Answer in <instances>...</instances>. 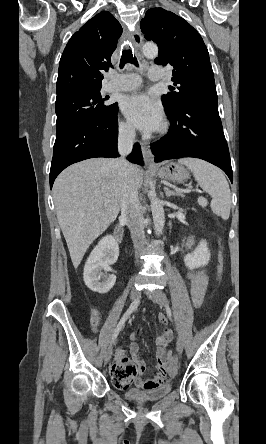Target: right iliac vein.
Returning <instances> with one entry per match:
<instances>
[{
	"instance_id": "right-iliac-vein-1",
	"label": "right iliac vein",
	"mask_w": 266,
	"mask_h": 444,
	"mask_svg": "<svg viewBox=\"0 0 266 444\" xmlns=\"http://www.w3.org/2000/svg\"><path fill=\"white\" fill-rule=\"evenodd\" d=\"M139 296H140V292L136 288H132L131 293H130L131 300L135 301L139 298ZM112 350H113V345L110 344L105 351V355H104L105 363H108L110 361L111 356H112Z\"/></svg>"
}]
</instances>
